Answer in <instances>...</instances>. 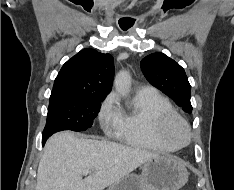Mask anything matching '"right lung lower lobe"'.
Returning a JSON list of instances; mask_svg holds the SVG:
<instances>
[{"label": "right lung lower lobe", "mask_w": 234, "mask_h": 190, "mask_svg": "<svg viewBox=\"0 0 234 190\" xmlns=\"http://www.w3.org/2000/svg\"><path fill=\"white\" fill-rule=\"evenodd\" d=\"M48 138H42V144L44 145V143L46 142Z\"/></svg>", "instance_id": "right-lung-lower-lobe-1"}]
</instances>
